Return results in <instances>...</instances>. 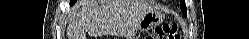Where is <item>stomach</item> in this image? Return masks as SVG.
I'll return each instance as SVG.
<instances>
[{"label":"stomach","instance_id":"obj_1","mask_svg":"<svg viewBox=\"0 0 249 39\" xmlns=\"http://www.w3.org/2000/svg\"><path fill=\"white\" fill-rule=\"evenodd\" d=\"M163 21V16L157 11L148 12L139 21V30L148 31Z\"/></svg>","mask_w":249,"mask_h":39}]
</instances>
